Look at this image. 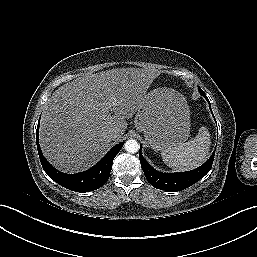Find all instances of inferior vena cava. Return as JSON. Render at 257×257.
Instances as JSON below:
<instances>
[{
	"label": "inferior vena cava",
	"mask_w": 257,
	"mask_h": 257,
	"mask_svg": "<svg viewBox=\"0 0 257 257\" xmlns=\"http://www.w3.org/2000/svg\"><path fill=\"white\" fill-rule=\"evenodd\" d=\"M105 137L107 139H114L116 137V132L114 130H111V131H108L106 134H105Z\"/></svg>",
	"instance_id": "1"
}]
</instances>
